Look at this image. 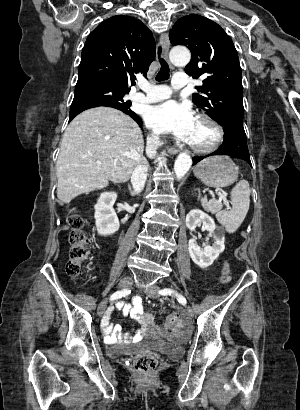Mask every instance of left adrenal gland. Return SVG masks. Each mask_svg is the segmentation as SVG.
Masks as SVG:
<instances>
[{
  "label": "left adrenal gland",
  "mask_w": 300,
  "mask_h": 410,
  "mask_svg": "<svg viewBox=\"0 0 300 410\" xmlns=\"http://www.w3.org/2000/svg\"><path fill=\"white\" fill-rule=\"evenodd\" d=\"M196 191H198V193H200V190L199 189H195ZM198 198H200V194L198 195Z\"/></svg>",
  "instance_id": "left-adrenal-gland-1"
}]
</instances>
